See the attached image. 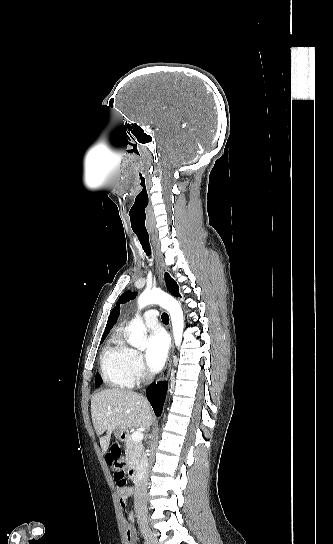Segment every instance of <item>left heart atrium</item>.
Returning a JSON list of instances; mask_svg holds the SVG:
<instances>
[{
	"instance_id": "39dd6f15",
	"label": "left heart atrium",
	"mask_w": 333,
	"mask_h": 544,
	"mask_svg": "<svg viewBox=\"0 0 333 544\" xmlns=\"http://www.w3.org/2000/svg\"><path fill=\"white\" fill-rule=\"evenodd\" d=\"M169 348L167 335L162 331L153 332L146 343L145 359L151 370H159L165 363Z\"/></svg>"
}]
</instances>
